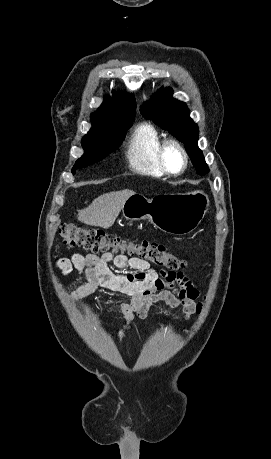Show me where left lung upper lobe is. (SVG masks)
Wrapping results in <instances>:
<instances>
[{
    "label": "left lung upper lobe",
    "instance_id": "obj_1",
    "mask_svg": "<svg viewBox=\"0 0 271 459\" xmlns=\"http://www.w3.org/2000/svg\"><path fill=\"white\" fill-rule=\"evenodd\" d=\"M140 112L184 143L199 175L208 173L209 168L197 144L198 127L189 117L185 103L172 98L171 88L160 89L151 101L143 104Z\"/></svg>",
    "mask_w": 271,
    "mask_h": 459
}]
</instances>
